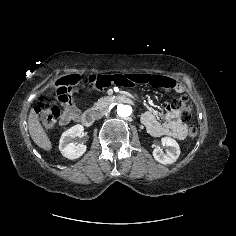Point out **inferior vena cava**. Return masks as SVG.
Masks as SVG:
<instances>
[{"label":"inferior vena cava","instance_id":"1","mask_svg":"<svg viewBox=\"0 0 236 236\" xmlns=\"http://www.w3.org/2000/svg\"><path fill=\"white\" fill-rule=\"evenodd\" d=\"M102 115H103L102 113H97L96 118L99 119L102 117Z\"/></svg>","mask_w":236,"mask_h":236}]
</instances>
